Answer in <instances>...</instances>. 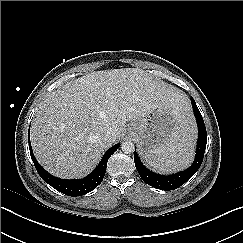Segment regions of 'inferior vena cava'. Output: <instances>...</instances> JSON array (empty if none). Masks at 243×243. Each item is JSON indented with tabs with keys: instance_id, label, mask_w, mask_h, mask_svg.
Wrapping results in <instances>:
<instances>
[{
	"instance_id": "1",
	"label": "inferior vena cava",
	"mask_w": 243,
	"mask_h": 243,
	"mask_svg": "<svg viewBox=\"0 0 243 243\" xmlns=\"http://www.w3.org/2000/svg\"><path fill=\"white\" fill-rule=\"evenodd\" d=\"M114 137V131L113 130H108L104 133L103 135V139L104 140H107V141H110L112 140Z\"/></svg>"
}]
</instances>
